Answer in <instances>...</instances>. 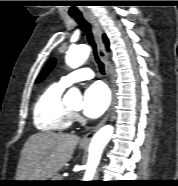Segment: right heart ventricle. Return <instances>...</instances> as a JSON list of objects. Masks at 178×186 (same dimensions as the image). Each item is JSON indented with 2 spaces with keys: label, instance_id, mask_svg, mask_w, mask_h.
Here are the masks:
<instances>
[{
  "label": "right heart ventricle",
  "instance_id": "1",
  "mask_svg": "<svg viewBox=\"0 0 178 186\" xmlns=\"http://www.w3.org/2000/svg\"><path fill=\"white\" fill-rule=\"evenodd\" d=\"M64 89L60 83L52 84L36 100L33 121L38 130L55 133L69 127L72 116L62 101Z\"/></svg>",
  "mask_w": 178,
  "mask_h": 186
}]
</instances>
